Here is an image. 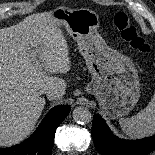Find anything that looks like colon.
<instances>
[{
    "instance_id": "colon-1",
    "label": "colon",
    "mask_w": 155,
    "mask_h": 155,
    "mask_svg": "<svg viewBox=\"0 0 155 155\" xmlns=\"http://www.w3.org/2000/svg\"><path fill=\"white\" fill-rule=\"evenodd\" d=\"M115 25L120 31L121 37L129 43V45L142 52L149 53L150 46L140 37H138L136 31L129 26L128 18L125 14L120 13L115 18Z\"/></svg>"
}]
</instances>
